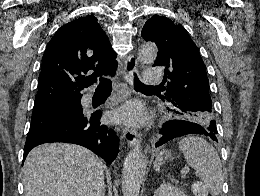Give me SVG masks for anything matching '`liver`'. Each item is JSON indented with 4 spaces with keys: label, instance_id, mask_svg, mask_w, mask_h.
<instances>
[{
    "label": "liver",
    "instance_id": "6515ba94",
    "mask_svg": "<svg viewBox=\"0 0 260 196\" xmlns=\"http://www.w3.org/2000/svg\"><path fill=\"white\" fill-rule=\"evenodd\" d=\"M103 160L75 144H42L23 166L24 196H102Z\"/></svg>",
    "mask_w": 260,
    "mask_h": 196
}]
</instances>
